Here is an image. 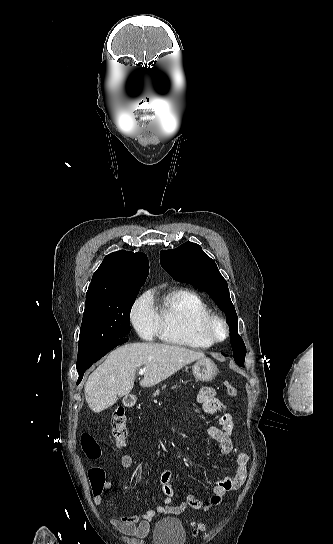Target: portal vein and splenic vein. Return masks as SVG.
Masks as SVG:
<instances>
[{"instance_id":"portal-vein-and-splenic-vein-1","label":"portal vein and splenic vein","mask_w":333,"mask_h":544,"mask_svg":"<svg viewBox=\"0 0 333 544\" xmlns=\"http://www.w3.org/2000/svg\"><path fill=\"white\" fill-rule=\"evenodd\" d=\"M145 371H146V370H145L144 368H143V369H140V370H139V375H143V374L145 373Z\"/></svg>"}]
</instances>
